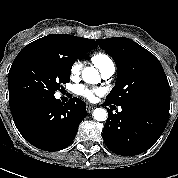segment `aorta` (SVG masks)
<instances>
[{"mask_svg":"<svg viewBox=\"0 0 178 178\" xmlns=\"http://www.w3.org/2000/svg\"><path fill=\"white\" fill-rule=\"evenodd\" d=\"M82 78L87 83L95 84L100 80L98 71L93 67H85L82 71ZM93 117L97 121H106L108 113L104 108H96L93 111Z\"/></svg>","mask_w":178,"mask_h":178,"instance_id":"aorta-1","label":"aorta"}]
</instances>
